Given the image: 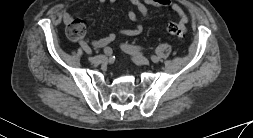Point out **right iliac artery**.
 I'll list each match as a JSON object with an SVG mask.
<instances>
[{
  "label": "right iliac artery",
  "instance_id": "82829eb1",
  "mask_svg": "<svg viewBox=\"0 0 253 138\" xmlns=\"http://www.w3.org/2000/svg\"><path fill=\"white\" fill-rule=\"evenodd\" d=\"M80 46H81V48L83 49V51H84L86 54H90L91 49H90V47L88 46V44H87L85 41H82V42L80 43ZM104 51H105L106 54L111 53V50H110L109 48H106Z\"/></svg>",
  "mask_w": 253,
  "mask_h": 138
}]
</instances>
